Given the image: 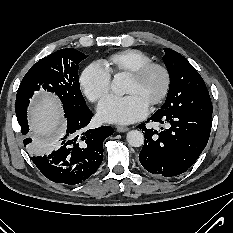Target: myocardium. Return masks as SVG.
I'll use <instances>...</instances> for the list:
<instances>
[{
	"label": "myocardium",
	"mask_w": 233,
	"mask_h": 233,
	"mask_svg": "<svg viewBox=\"0 0 233 233\" xmlns=\"http://www.w3.org/2000/svg\"><path fill=\"white\" fill-rule=\"evenodd\" d=\"M153 70H158L162 74L163 86L159 95L149 104L150 107H155L160 105L167 98L170 92L171 82H172L171 73L169 69L163 64L152 62L140 66L139 68L128 74V78H131L134 81H140Z\"/></svg>",
	"instance_id": "obj_1"
}]
</instances>
